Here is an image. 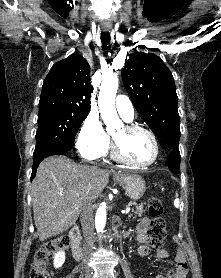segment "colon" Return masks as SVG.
<instances>
[{
    "mask_svg": "<svg viewBox=\"0 0 221 278\" xmlns=\"http://www.w3.org/2000/svg\"><path fill=\"white\" fill-rule=\"evenodd\" d=\"M148 213L152 218L149 224L148 235L151 245L159 249L167 237L166 222L162 218L163 203L156 197L148 200ZM69 239L61 237L43 244L35 253L30 271V278H51L46 268V263L59 250L67 247Z\"/></svg>",
    "mask_w": 221,
    "mask_h": 278,
    "instance_id": "obj_1",
    "label": "colon"
}]
</instances>
